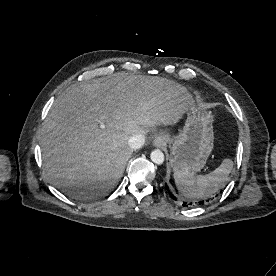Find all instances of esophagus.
<instances>
[{
	"label": "esophagus",
	"instance_id": "obj_1",
	"mask_svg": "<svg viewBox=\"0 0 276 276\" xmlns=\"http://www.w3.org/2000/svg\"><path fill=\"white\" fill-rule=\"evenodd\" d=\"M167 142V137L165 135H159L155 138L153 144L156 147H163Z\"/></svg>",
	"mask_w": 276,
	"mask_h": 276
}]
</instances>
